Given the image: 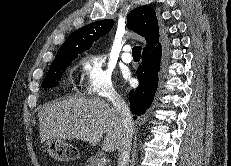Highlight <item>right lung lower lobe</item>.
Instances as JSON below:
<instances>
[{
	"label": "right lung lower lobe",
	"instance_id": "98d812e1",
	"mask_svg": "<svg viewBox=\"0 0 231 166\" xmlns=\"http://www.w3.org/2000/svg\"><path fill=\"white\" fill-rule=\"evenodd\" d=\"M161 44L150 52L142 54V63L137 70L139 86L129 94L130 109L137 116L144 114L151 106L158 84L161 60Z\"/></svg>",
	"mask_w": 231,
	"mask_h": 166
}]
</instances>
